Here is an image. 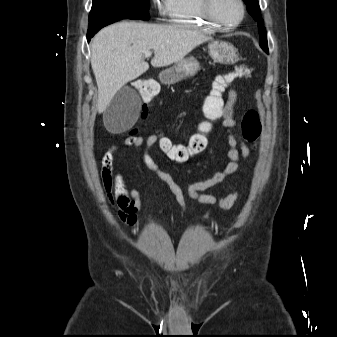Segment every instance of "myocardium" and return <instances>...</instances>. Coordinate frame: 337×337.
Segmentation results:
<instances>
[{"label": "myocardium", "mask_w": 337, "mask_h": 337, "mask_svg": "<svg viewBox=\"0 0 337 337\" xmlns=\"http://www.w3.org/2000/svg\"><path fill=\"white\" fill-rule=\"evenodd\" d=\"M240 10L241 16L240 18L234 23H225L222 22L217 18L214 13V3L215 0H200V7L203 14V17L216 29L220 30H230L237 28L245 19L246 16V5L243 0H237Z\"/></svg>", "instance_id": "obj_1"}]
</instances>
